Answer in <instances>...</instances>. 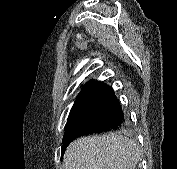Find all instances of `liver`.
<instances>
[{"label":"liver","instance_id":"liver-1","mask_svg":"<svg viewBox=\"0 0 177 169\" xmlns=\"http://www.w3.org/2000/svg\"><path fill=\"white\" fill-rule=\"evenodd\" d=\"M137 144L116 133L73 141L63 155L64 169H135Z\"/></svg>","mask_w":177,"mask_h":169}]
</instances>
